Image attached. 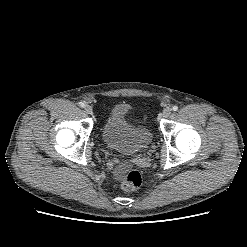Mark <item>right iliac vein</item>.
Masks as SVG:
<instances>
[{
  "label": "right iliac vein",
  "instance_id": "obj_1",
  "mask_svg": "<svg viewBox=\"0 0 247 247\" xmlns=\"http://www.w3.org/2000/svg\"><path fill=\"white\" fill-rule=\"evenodd\" d=\"M84 109H85V112L88 113V114H91L93 112V109H92V107L90 105H86L84 107Z\"/></svg>",
  "mask_w": 247,
  "mask_h": 247
}]
</instances>
